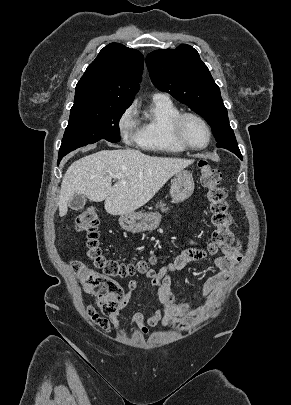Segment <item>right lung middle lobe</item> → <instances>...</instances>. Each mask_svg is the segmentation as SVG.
<instances>
[{"label":"right lung middle lobe","instance_id":"obj_1","mask_svg":"<svg viewBox=\"0 0 291 405\" xmlns=\"http://www.w3.org/2000/svg\"><path fill=\"white\" fill-rule=\"evenodd\" d=\"M128 107L117 103L73 106L59 150L58 163L69 152L101 139L119 142V119Z\"/></svg>","mask_w":291,"mask_h":405}]
</instances>
